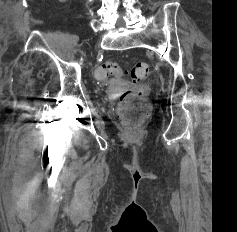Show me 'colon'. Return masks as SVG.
Returning <instances> with one entry per match:
<instances>
[{
    "instance_id": "colon-1",
    "label": "colon",
    "mask_w": 237,
    "mask_h": 232,
    "mask_svg": "<svg viewBox=\"0 0 237 232\" xmlns=\"http://www.w3.org/2000/svg\"><path fill=\"white\" fill-rule=\"evenodd\" d=\"M149 68V64L146 62L136 63L130 71L132 80L134 82L145 80L148 77ZM123 74L124 71L113 61L101 63L96 71V75L100 79L121 77ZM148 91L147 84H140L121 96L118 115L123 127L131 133L139 131L149 116Z\"/></svg>"
}]
</instances>
